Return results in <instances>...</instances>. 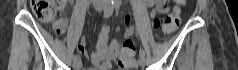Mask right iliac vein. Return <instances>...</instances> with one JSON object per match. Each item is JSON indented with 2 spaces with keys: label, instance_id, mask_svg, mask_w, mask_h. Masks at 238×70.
Listing matches in <instances>:
<instances>
[{
  "label": "right iliac vein",
  "instance_id": "right-iliac-vein-1",
  "mask_svg": "<svg viewBox=\"0 0 238 70\" xmlns=\"http://www.w3.org/2000/svg\"><path fill=\"white\" fill-rule=\"evenodd\" d=\"M95 9L98 10V11H101L103 9V6L101 5H96L95 6ZM81 66H82V62L80 59H77V60H73V68L75 70H79L81 69Z\"/></svg>",
  "mask_w": 238,
  "mask_h": 70
}]
</instances>
